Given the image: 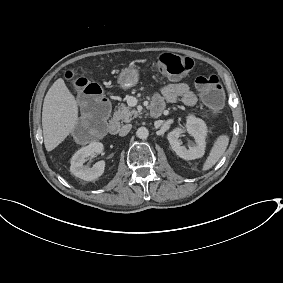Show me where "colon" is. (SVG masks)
Returning a JSON list of instances; mask_svg holds the SVG:
<instances>
[{
	"instance_id": "1",
	"label": "colon",
	"mask_w": 283,
	"mask_h": 283,
	"mask_svg": "<svg viewBox=\"0 0 283 283\" xmlns=\"http://www.w3.org/2000/svg\"><path fill=\"white\" fill-rule=\"evenodd\" d=\"M151 65L157 72L170 77H181L192 69L193 62L188 57L164 53L155 58ZM66 77L74 81L82 109V116L74 134L77 139L88 141L103 129L109 114V103L96 83L76 78L71 71L67 72ZM195 84L203 103L213 113H218L224 104L225 94L217 76H199Z\"/></svg>"
}]
</instances>
